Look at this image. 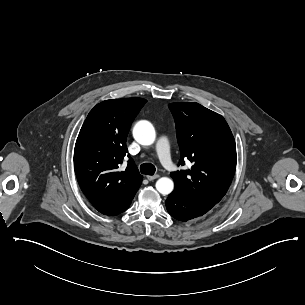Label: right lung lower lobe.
Listing matches in <instances>:
<instances>
[{
	"instance_id": "right-lung-lower-lobe-1",
	"label": "right lung lower lobe",
	"mask_w": 305,
	"mask_h": 305,
	"mask_svg": "<svg viewBox=\"0 0 305 305\" xmlns=\"http://www.w3.org/2000/svg\"><path fill=\"white\" fill-rule=\"evenodd\" d=\"M133 198H131L130 200H128L125 204H123L122 206L108 212L107 214L105 215H117V214H120L122 213L123 211H125L131 204V201H132Z\"/></svg>"
}]
</instances>
